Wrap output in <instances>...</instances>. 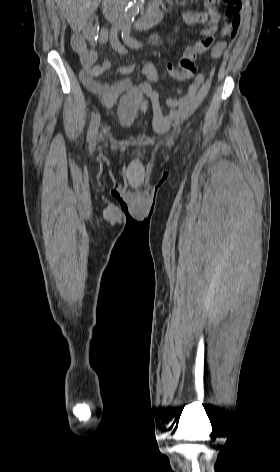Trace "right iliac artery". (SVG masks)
I'll use <instances>...</instances> for the list:
<instances>
[{"instance_id":"82829eb1","label":"right iliac artery","mask_w":280,"mask_h":472,"mask_svg":"<svg viewBox=\"0 0 280 472\" xmlns=\"http://www.w3.org/2000/svg\"><path fill=\"white\" fill-rule=\"evenodd\" d=\"M122 28L123 27L121 25L114 26L112 28V31H111V34H110L111 45L119 53H125L126 52L124 47L119 43L118 38H117V34L120 30H122ZM99 122H100V115H99V113H95L92 116L90 126H89V130H88V134H87V141L90 144H94V142H95L97 132H98V127H99Z\"/></svg>"}]
</instances>
